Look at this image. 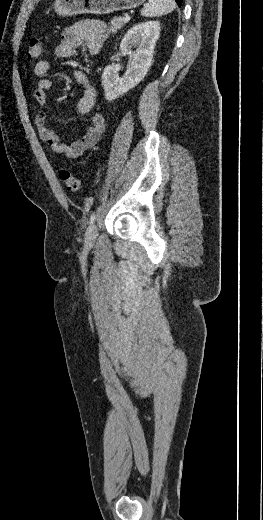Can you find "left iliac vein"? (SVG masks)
I'll use <instances>...</instances> for the list:
<instances>
[{"label": "left iliac vein", "instance_id": "left-iliac-vein-1", "mask_svg": "<svg viewBox=\"0 0 263 520\" xmlns=\"http://www.w3.org/2000/svg\"><path fill=\"white\" fill-rule=\"evenodd\" d=\"M97 235H98L97 226L95 224H92L86 232V236H85L86 244L89 246L93 245L96 241Z\"/></svg>", "mask_w": 263, "mask_h": 520}]
</instances>
